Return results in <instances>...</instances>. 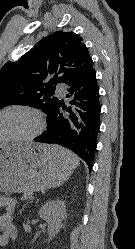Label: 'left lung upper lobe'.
Returning <instances> with one entry per match:
<instances>
[{"instance_id":"obj_1","label":"left lung upper lobe","mask_w":135,"mask_h":249,"mask_svg":"<svg viewBox=\"0 0 135 249\" xmlns=\"http://www.w3.org/2000/svg\"><path fill=\"white\" fill-rule=\"evenodd\" d=\"M92 64L86 45L74 32L56 31L42 39L17 62L0 70V109L15 103L49 115L58 103L55 85L69 84Z\"/></svg>"}]
</instances>
